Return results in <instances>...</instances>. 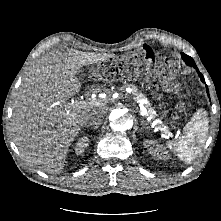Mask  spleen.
<instances>
[{
    "mask_svg": "<svg viewBox=\"0 0 221 221\" xmlns=\"http://www.w3.org/2000/svg\"><path fill=\"white\" fill-rule=\"evenodd\" d=\"M208 133L206 112L198 110L184 128V135L174 142H168L167 147L184 162L191 163L201 152Z\"/></svg>",
    "mask_w": 221,
    "mask_h": 221,
    "instance_id": "spleen-1",
    "label": "spleen"
}]
</instances>
